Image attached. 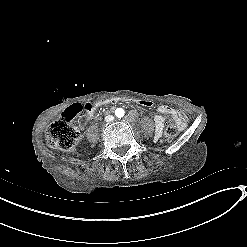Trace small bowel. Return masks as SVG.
<instances>
[{"label":"small bowel","instance_id":"c3829d8e","mask_svg":"<svg viewBox=\"0 0 247 247\" xmlns=\"http://www.w3.org/2000/svg\"><path fill=\"white\" fill-rule=\"evenodd\" d=\"M157 111L158 114L154 117L157 135L161 134L165 126V123L168 119L175 121L180 128H182L185 125V118L180 111L163 105L159 106L157 108Z\"/></svg>","mask_w":247,"mask_h":247}]
</instances>
